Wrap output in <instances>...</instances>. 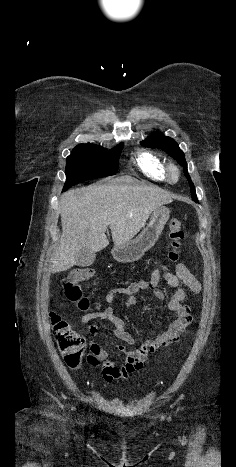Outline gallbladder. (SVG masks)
Returning a JSON list of instances; mask_svg holds the SVG:
<instances>
[{
	"instance_id": "1",
	"label": "gallbladder",
	"mask_w": 236,
	"mask_h": 467,
	"mask_svg": "<svg viewBox=\"0 0 236 467\" xmlns=\"http://www.w3.org/2000/svg\"><path fill=\"white\" fill-rule=\"evenodd\" d=\"M95 258V252L88 247H84L81 250H79L76 254V265L80 267L90 266L94 263Z\"/></svg>"
}]
</instances>
